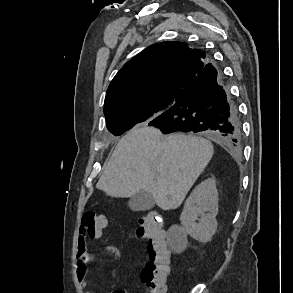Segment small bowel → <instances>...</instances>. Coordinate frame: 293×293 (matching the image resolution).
<instances>
[{
    "label": "small bowel",
    "instance_id": "1",
    "mask_svg": "<svg viewBox=\"0 0 293 293\" xmlns=\"http://www.w3.org/2000/svg\"><path fill=\"white\" fill-rule=\"evenodd\" d=\"M77 254H76V266H77V277L79 283L82 287L86 288L88 286L87 274L88 266L95 261V255L88 250L87 237L82 230L80 229L79 235L77 237ZM104 251L113 255L115 258H121L123 256L122 250L113 245L107 244L104 246ZM86 293H94L93 291H86ZM113 293H128L125 289H116Z\"/></svg>",
    "mask_w": 293,
    "mask_h": 293
}]
</instances>
